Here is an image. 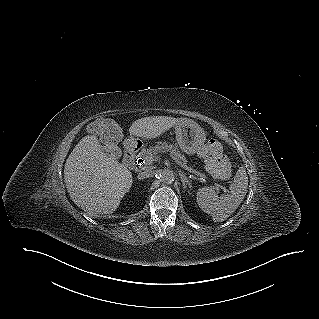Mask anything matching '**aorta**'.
<instances>
[{"mask_svg":"<svg viewBox=\"0 0 319 319\" xmlns=\"http://www.w3.org/2000/svg\"><path fill=\"white\" fill-rule=\"evenodd\" d=\"M161 180L166 184H171L175 180V175L170 170H164L160 174Z\"/></svg>","mask_w":319,"mask_h":319,"instance_id":"1","label":"aorta"}]
</instances>
